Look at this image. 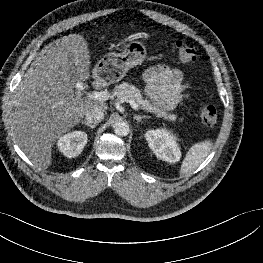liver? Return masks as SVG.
Masks as SVG:
<instances>
[{"label": "liver", "instance_id": "6515ba94", "mask_svg": "<svg viewBox=\"0 0 263 263\" xmlns=\"http://www.w3.org/2000/svg\"><path fill=\"white\" fill-rule=\"evenodd\" d=\"M90 51L82 35L70 34L48 44L15 90L9 121L16 143L39 168L52 163V147L93 106L103 101L75 97L70 73L90 78Z\"/></svg>", "mask_w": 263, "mask_h": 263}]
</instances>
